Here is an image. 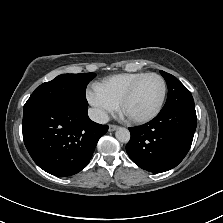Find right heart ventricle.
<instances>
[{
	"mask_svg": "<svg viewBox=\"0 0 223 223\" xmlns=\"http://www.w3.org/2000/svg\"><path fill=\"white\" fill-rule=\"evenodd\" d=\"M145 74V72L119 73L96 83V85H98L113 101L118 103L128 89Z\"/></svg>",
	"mask_w": 223,
	"mask_h": 223,
	"instance_id": "1",
	"label": "right heart ventricle"
}]
</instances>
